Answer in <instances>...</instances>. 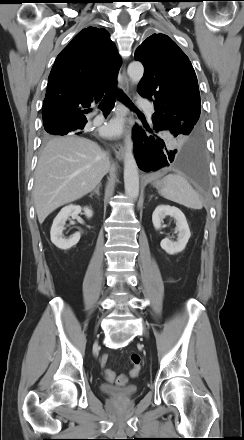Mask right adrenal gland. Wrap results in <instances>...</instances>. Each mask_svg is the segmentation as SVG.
<instances>
[{"instance_id": "2a0ac1e0", "label": "right adrenal gland", "mask_w": 244, "mask_h": 440, "mask_svg": "<svg viewBox=\"0 0 244 440\" xmlns=\"http://www.w3.org/2000/svg\"><path fill=\"white\" fill-rule=\"evenodd\" d=\"M100 187H101V183H99L96 187V189L90 194V197H92L94 194H97L98 196H100Z\"/></svg>"}]
</instances>
